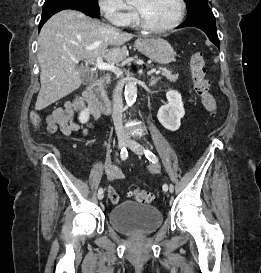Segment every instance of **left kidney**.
Instances as JSON below:
<instances>
[{"label":"left kidney","mask_w":261,"mask_h":273,"mask_svg":"<svg viewBox=\"0 0 261 273\" xmlns=\"http://www.w3.org/2000/svg\"><path fill=\"white\" fill-rule=\"evenodd\" d=\"M168 104L160 107L157 118L159 122L169 131H177L181 125V118L185 115L181 94L176 90L166 93Z\"/></svg>","instance_id":"obj_1"}]
</instances>
